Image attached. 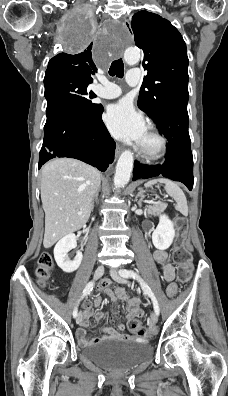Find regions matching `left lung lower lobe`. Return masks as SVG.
I'll return each instance as SVG.
<instances>
[{
    "instance_id": "0a47b994",
    "label": "left lung lower lobe",
    "mask_w": 228,
    "mask_h": 396,
    "mask_svg": "<svg viewBox=\"0 0 228 396\" xmlns=\"http://www.w3.org/2000/svg\"><path fill=\"white\" fill-rule=\"evenodd\" d=\"M188 101L173 103L164 108L156 123L159 133L168 139L167 158L162 165L146 166L134 162L133 180L158 175L193 187V156L188 132Z\"/></svg>"
}]
</instances>
